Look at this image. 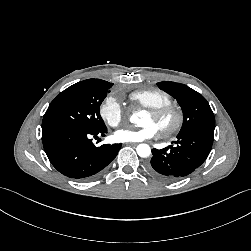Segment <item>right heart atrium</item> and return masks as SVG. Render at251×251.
Returning a JSON list of instances; mask_svg holds the SVG:
<instances>
[{
    "instance_id": "right-heart-atrium-1",
    "label": "right heart atrium",
    "mask_w": 251,
    "mask_h": 251,
    "mask_svg": "<svg viewBox=\"0 0 251 251\" xmlns=\"http://www.w3.org/2000/svg\"><path fill=\"white\" fill-rule=\"evenodd\" d=\"M101 118L111 127L119 126L125 118V110L120 99L114 95L107 96L100 109Z\"/></svg>"
}]
</instances>
